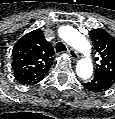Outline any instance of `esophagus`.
I'll use <instances>...</instances> for the list:
<instances>
[{
    "label": "esophagus",
    "mask_w": 115,
    "mask_h": 119,
    "mask_svg": "<svg viewBox=\"0 0 115 119\" xmlns=\"http://www.w3.org/2000/svg\"><path fill=\"white\" fill-rule=\"evenodd\" d=\"M68 53L74 61H76L79 57L78 52L76 50H74L73 48H69Z\"/></svg>",
    "instance_id": "obj_1"
}]
</instances>
